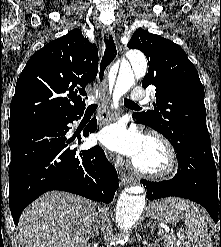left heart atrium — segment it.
Listing matches in <instances>:
<instances>
[{
	"label": "left heart atrium",
	"mask_w": 221,
	"mask_h": 247,
	"mask_svg": "<svg viewBox=\"0 0 221 247\" xmlns=\"http://www.w3.org/2000/svg\"><path fill=\"white\" fill-rule=\"evenodd\" d=\"M98 140L108 149L133 160L141 151L146 136L137 127H128L124 121H119L104 127L98 134Z\"/></svg>",
	"instance_id": "left-heart-atrium-1"
}]
</instances>
